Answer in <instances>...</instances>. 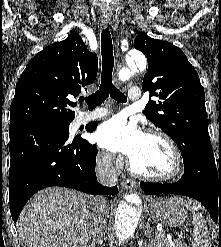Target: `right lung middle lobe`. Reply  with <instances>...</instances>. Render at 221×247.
Masks as SVG:
<instances>
[{
	"label": "right lung middle lobe",
	"mask_w": 221,
	"mask_h": 247,
	"mask_svg": "<svg viewBox=\"0 0 221 247\" xmlns=\"http://www.w3.org/2000/svg\"><path fill=\"white\" fill-rule=\"evenodd\" d=\"M69 124L70 122H66V123H51V124H45L42 125L40 127H48L51 128L55 131L61 132L65 135H69Z\"/></svg>",
	"instance_id": "obj_1"
}]
</instances>
